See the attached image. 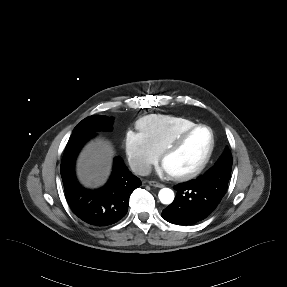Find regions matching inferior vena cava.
Returning a JSON list of instances; mask_svg holds the SVG:
<instances>
[{
	"label": "inferior vena cava",
	"mask_w": 287,
	"mask_h": 287,
	"mask_svg": "<svg viewBox=\"0 0 287 287\" xmlns=\"http://www.w3.org/2000/svg\"><path fill=\"white\" fill-rule=\"evenodd\" d=\"M131 169L140 176H147L151 173V166L146 163H134L131 165Z\"/></svg>",
	"instance_id": "inferior-vena-cava-1"
}]
</instances>
